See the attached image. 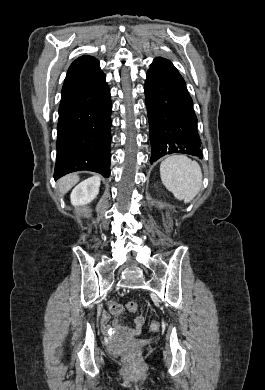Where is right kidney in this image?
I'll return each instance as SVG.
<instances>
[{
	"mask_svg": "<svg viewBox=\"0 0 265 390\" xmlns=\"http://www.w3.org/2000/svg\"><path fill=\"white\" fill-rule=\"evenodd\" d=\"M100 181L99 176H93L78 184L70 195L72 205L81 206L94 200L99 193Z\"/></svg>",
	"mask_w": 265,
	"mask_h": 390,
	"instance_id": "right-kidney-1",
	"label": "right kidney"
}]
</instances>
